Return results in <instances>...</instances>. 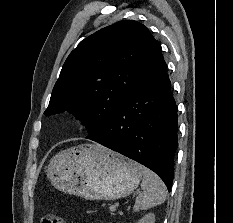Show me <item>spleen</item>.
Listing matches in <instances>:
<instances>
[{
    "label": "spleen",
    "mask_w": 233,
    "mask_h": 223,
    "mask_svg": "<svg viewBox=\"0 0 233 223\" xmlns=\"http://www.w3.org/2000/svg\"><path fill=\"white\" fill-rule=\"evenodd\" d=\"M142 169L143 181L141 183V189L143 191L135 199L134 211L149 209V207L163 203L166 199L167 191L164 181L154 171L147 169V167H142Z\"/></svg>",
    "instance_id": "spleen-1"
}]
</instances>
